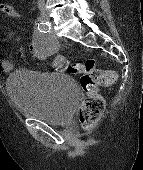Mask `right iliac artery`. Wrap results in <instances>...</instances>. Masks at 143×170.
Masks as SVG:
<instances>
[{
  "mask_svg": "<svg viewBox=\"0 0 143 170\" xmlns=\"http://www.w3.org/2000/svg\"><path fill=\"white\" fill-rule=\"evenodd\" d=\"M37 29L40 32L47 33L50 30V24L42 19H39V21L37 23Z\"/></svg>",
  "mask_w": 143,
  "mask_h": 170,
  "instance_id": "1",
  "label": "right iliac artery"
}]
</instances>
